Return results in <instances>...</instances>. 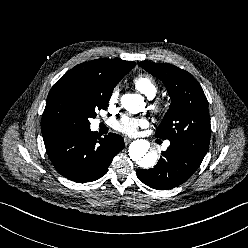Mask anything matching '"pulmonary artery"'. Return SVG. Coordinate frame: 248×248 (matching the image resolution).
I'll return each mask as SVG.
<instances>
[{"mask_svg": "<svg viewBox=\"0 0 248 248\" xmlns=\"http://www.w3.org/2000/svg\"><path fill=\"white\" fill-rule=\"evenodd\" d=\"M169 146V142H166L165 144H164V148H167Z\"/></svg>", "mask_w": 248, "mask_h": 248, "instance_id": "1", "label": "pulmonary artery"}]
</instances>
